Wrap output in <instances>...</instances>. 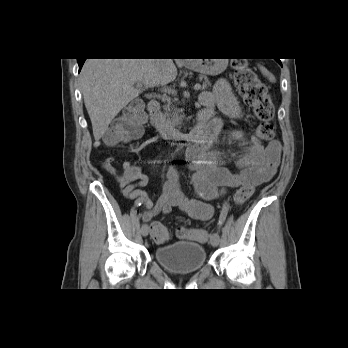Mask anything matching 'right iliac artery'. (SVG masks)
<instances>
[{"mask_svg": "<svg viewBox=\"0 0 348 348\" xmlns=\"http://www.w3.org/2000/svg\"><path fill=\"white\" fill-rule=\"evenodd\" d=\"M145 200H146V197L144 195H141L140 198H134L133 199L134 209L139 208L144 203Z\"/></svg>", "mask_w": 348, "mask_h": 348, "instance_id": "obj_1", "label": "right iliac artery"}]
</instances>
